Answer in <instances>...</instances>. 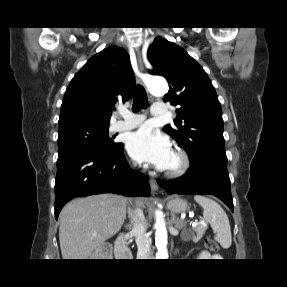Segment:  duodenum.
<instances>
[{
    "label": "duodenum",
    "instance_id": "obj_1",
    "mask_svg": "<svg viewBox=\"0 0 287 287\" xmlns=\"http://www.w3.org/2000/svg\"><path fill=\"white\" fill-rule=\"evenodd\" d=\"M127 234L122 233L117 239L116 255L119 258L130 259L132 254L127 246Z\"/></svg>",
    "mask_w": 287,
    "mask_h": 287
}]
</instances>
